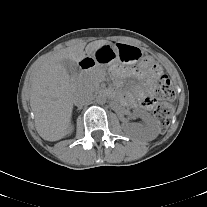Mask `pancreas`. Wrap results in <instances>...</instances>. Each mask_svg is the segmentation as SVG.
I'll list each match as a JSON object with an SVG mask.
<instances>
[{
	"label": "pancreas",
	"mask_w": 207,
	"mask_h": 207,
	"mask_svg": "<svg viewBox=\"0 0 207 207\" xmlns=\"http://www.w3.org/2000/svg\"><path fill=\"white\" fill-rule=\"evenodd\" d=\"M103 76L101 69H93L83 75L81 86L84 89L94 91L99 86V81Z\"/></svg>",
	"instance_id": "1"
}]
</instances>
